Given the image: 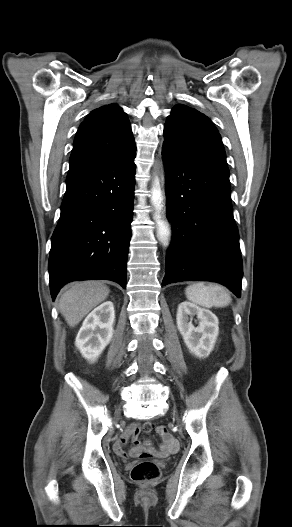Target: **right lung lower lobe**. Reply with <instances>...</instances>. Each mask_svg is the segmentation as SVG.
Returning <instances> with one entry per match:
<instances>
[{
  "instance_id": "obj_1",
  "label": "right lung lower lobe",
  "mask_w": 292,
  "mask_h": 527,
  "mask_svg": "<svg viewBox=\"0 0 292 527\" xmlns=\"http://www.w3.org/2000/svg\"><path fill=\"white\" fill-rule=\"evenodd\" d=\"M136 151L70 163L49 257L51 296L70 281L107 279L126 286Z\"/></svg>"
}]
</instances>
